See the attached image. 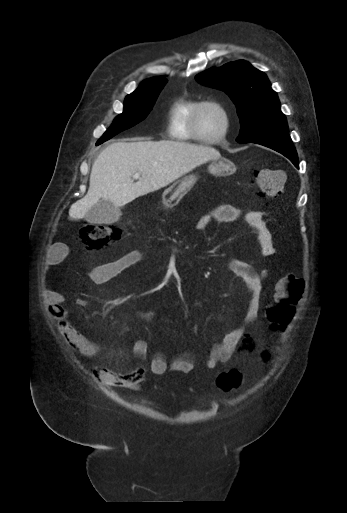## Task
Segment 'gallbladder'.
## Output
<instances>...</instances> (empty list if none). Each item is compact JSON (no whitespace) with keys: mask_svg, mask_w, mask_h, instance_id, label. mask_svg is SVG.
Instances as JSON below:
<instances>
[{"mask_svg":"<svg viewBox=\"0 0 347 513\" xmlns=\"http://www.w3.org/2000/svg\"><path fill=\"white\" fill-rule=\"evenodd\" d=\"M122 215L121 208L109 201L100 200L86 214L85 220L92 224H112Z\"/></svg>","mask_w":347,"mask_h":513,"instance_id":"bac80fb5","label":"gallbladder"}]
</instances>
